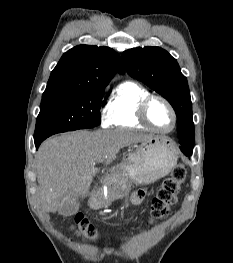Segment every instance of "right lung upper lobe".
<instances>
[{"label": "right lung upper lobe", "instance_id": "1", "mask_svg": "<svg viewBox=\"0 0 233 263\" xmlns=\"http://www.w3.org/2000/svg\"><path fill=\"white\" fill-rule=\"evenodd\" d=\"M116 72L123 74L124 68L113 49L79 45L63 54L43 95L104 89Z\"/></svg>", "mask_w": 233, "mask_h": 263}]
</instances>
